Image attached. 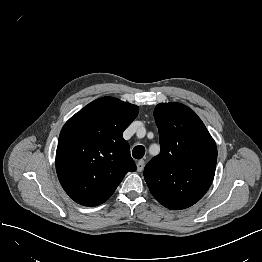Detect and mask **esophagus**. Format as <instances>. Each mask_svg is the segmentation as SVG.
Here are the masks:
<instances>
[{"label": "esophagus", "mask_w": 262, "mask_h": 262, "mask_svg": "<svg viewBox=\"0 0 262 262\" xmlns=\"http://www.w3.org/2000/svg\"><path fill=\"white\" fill-rule=\"evenodd\" d=\"M144 165H145L144 160H139V161L137 162V171H138V172H141V171L143 170V168H144Z\"/></svg>", "instance_id": "esophagus-1"}]
</instances>
